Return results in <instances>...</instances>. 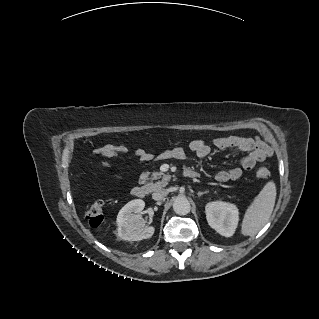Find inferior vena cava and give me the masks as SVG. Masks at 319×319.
<instances>
[{"mask_svg": "<svg viewBox=\"0 0 319 319\" xmlns=\"http://www.w3.org/2000/svg\"><path fill=\"white\" fill-rule=\"evenodd\" d=\"M168 192L165 189H157L153 192L152 198L156 201H160L166 197Z\"/></svg>", "mask_w": 319, "mask_h": 319, "instance_id": "obj_1", "label": "inferior vena cava"}]
</instances>
